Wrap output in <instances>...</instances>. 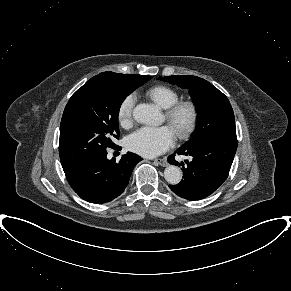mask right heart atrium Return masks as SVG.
Listing matches in <instances>:
<instances>
[{"instance_id":"right-heart-atrium-1","label":"right heart atrium","mask_w":291,"mask_h":291,"mask_svg":"<svg viewBox=\"0 0 291 291\" xmlns=\"http://www.w3.org/2000/svg\"><path fill=\"white\" fill-rule=\"evenodd\" d=\"M134 105L135 96L133 94H129L121 101L118 107V122L124 128H127L132 124Z\"/></svg>"}]
</instances>
